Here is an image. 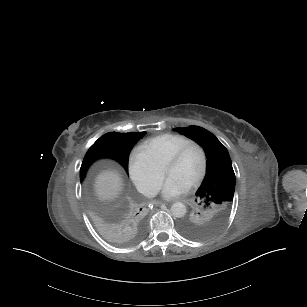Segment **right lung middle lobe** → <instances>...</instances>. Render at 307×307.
Listing matches in <instances>:
<instances>
[{
	"label": "right lung middle lobe",
	"instance_id": "right-lung-middle-lobe-1",
	"mask_svg": "<svg viewBox=\"0 0 307 307\" xmlns=\"http://www.w3.org/2000/svg\"><path fill=\"white\" fill-rule=\"evenodd\" d=\"M145 135V134H144ZM142 138V137H141ZM133 144H121L100 137L87 151L80 169V179L83 180L90 164L102 157H111L119 161L128 171V155Z\"/></svg>",
	"mask_w": 307,
	"mask_h": 307
}]
</instances>
